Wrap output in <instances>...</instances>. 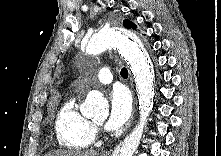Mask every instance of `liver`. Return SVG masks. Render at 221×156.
<instances>
[{
  "mask_svg": "<svg viewBox=\"0 0 221 156\" xmlns=\"http://www.w3.org/2000/svg\"><path fill=\"white\" fill-rule=\"evenodd\" d=\"M45 156H98L94 150H54L45 154Z\"/></svg>",
  "mask_w": 221,
  "mask_h": 156,
  "instance_id": "6515ba94",
  "label": "liver"
}]
</instances>
